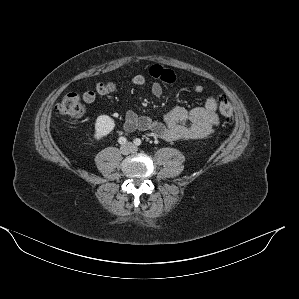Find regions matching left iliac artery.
<instances>
[{
	"mask_svg": "<svg viewBox=\"0 0 299 299\" xmlns=\"http://www.w3.org/2000/svg\"><path fill=\"white\" fill-rule=\"evenodd\" d=\"M134 144L136 145V146H140L141 144H142V141H141V139H139V138H136V139H134Z\"/></svg>",
	"mask_w": 299,
	"mask_h": 299,
	"instance_id": "44dca946",
	"label": "left iliac artery"
}]
</instances>
